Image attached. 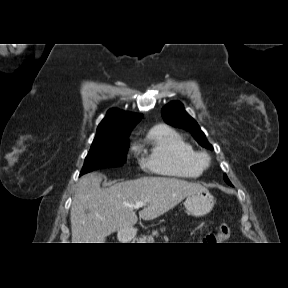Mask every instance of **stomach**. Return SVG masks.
<instances>
[{
	"label": "stomach",
	"instance_id": "0dacf381",
	"mask_svg": "<svg viewBox=\"0 0 288 288\" xmlns=\"http://www.w3.org/2000/svg\"><path fill=\"white\" fill-rule=\"evenodd\" d=\"M214 203V197L204 188L188 195L184 205L189 214L199 217L209 213ZM118 236L122 241L131 240L134 237V231L119 233Z\"/></svg>",
	"mask_w": 288,
	"mask_h": 288
}]
</instances>
